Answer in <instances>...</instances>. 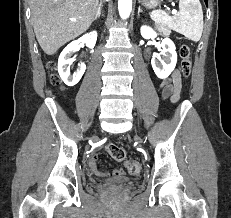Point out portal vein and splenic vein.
Masks as SVG:
<instances>
[{
	"label": "portal vein and splenic vein",
	"mask_w": 231,
	"mask_h": 218,
	"mask_svg": "<svg viewBox=\"0 0 231 218\" xmlns=\"http://www.w3.org/2000/svg\"><path fill=\"white\" fill-rule=\"evenodd\" d=\"M175 13H176V10H172V14H175ZM71 21H72V22H75V21H76V19L71 18Z\"/></svg>",
	"instance_id": "portal-vein-and-splenic-vein-1"
}]
</instances>
